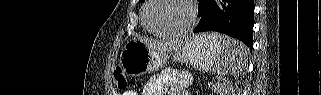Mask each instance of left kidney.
<instances>
[{
    "label": "left kidney",
    "mask_w": 321,
    "mask_h": 95,
    "mask_svg": "<svg viewBox=\"0 0 321 95\" xmlns=\"http://www.w3.org/2000/svg\"><path fill=\"white\" fill-rule=\"evenodd\" d=\"M220 93V95H234V91L231 90L230 88L226 87H221L218 90H216Z\"/></svg>",
    "instance_id": "5707ae66"
}]
</instances>
